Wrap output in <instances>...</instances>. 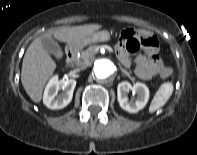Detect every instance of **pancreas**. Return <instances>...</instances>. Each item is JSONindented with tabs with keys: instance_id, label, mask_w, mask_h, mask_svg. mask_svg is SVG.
I'll list each match as a JSON object with an SVG mask.
<instances>
[{
	"instance_id": "cf45deb5",
	"label": "pancreas",
	"mask_w": 197,
	"mask_h": 155,
	"mask_svg": "<svg viewBox=\"0 0 197 155\" xmlns=\"http://www.w3.org/2000/svg\"><path fill=\"white\" fill-rule=\"evenodd\" d=\"M98 49V46L93 45L82 51L80 56L76 59L77 65L85 64L86 62H88L91 58H93Z\"/></svg>"
}]
</instances>
